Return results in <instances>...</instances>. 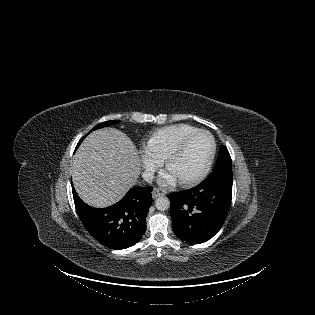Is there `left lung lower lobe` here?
<instances>
[{"label": "left lung lower lobe", "mask_w": 315, "mask_h": 315, "mask_svg": "<svg viewBox=\"0 0 315 315\" xmlns=\"http://www.w3.org/2000/svg\"><path fill=\"white\" fill-rule=\"evenodd\" d=\"M233 180L199 185L170 197L174 233L182 240L200 244L211 239L222 227L232 198Z\"/></svg>", "instance_id": "left-lung-lower-lobe-1"}]
</instances>
